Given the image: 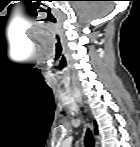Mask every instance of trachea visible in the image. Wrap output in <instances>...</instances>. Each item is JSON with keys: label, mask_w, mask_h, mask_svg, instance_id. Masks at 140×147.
<instances>
[{"label": "trachea", "mask_w": 140, "mask_h": 147, "mask_svg": "<svg viewBox=\"0 0 140 147\" xmlns=\"http://www.w3.org/2000/svg\"><path fill=\"white\" fill-rule=\"evenodd\" d=\"M85 146L86 147H94L93 136H92V133L90 130H87V132H86Z\"/></svg>", "instance_id": "trachea-1"}]
</instances>
